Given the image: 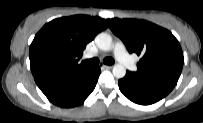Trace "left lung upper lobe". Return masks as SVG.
Here are the masks:
<instances>
[{"label": "left lung upper lobe", "instance_id": "obj_1", "mask_svg": "<svg viewBox=\"0 0 203 123\" xmlns=\"http://www.w3.org/2000/svg\"><path fill=\"white\" fill-rule=\"evenodd\" d=\"M107 21L128 51L141 56L134 73L176 85L184 57L178 40L170 31L145 20L113 18Z\"/></svg>", "mask_w": 203, "mask_h": 123}]
</instances>
